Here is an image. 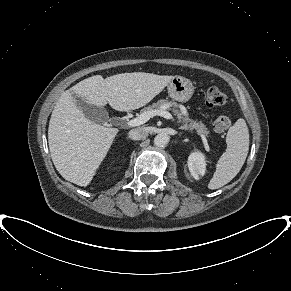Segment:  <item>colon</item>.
Segmentation results:
<instances>
[{
  "label": "colon",
  "mask_w": 291,
  "mask_h": 291,
  "mask_svg": "<svg viewBox=\"0 0 291 291\" xmlns=\"http://www.w3.org/2000/svg\"><path fill=\"white\" fill-rule=\"evenodd\" d=\"M206 102L209 106H222L227 102V97L218 88L211 87L207 90ZM229 126L230 119L225 115L217 117L214 122V130L219 133L226 131Z\"/></svg>",
  "instance_id": "obj_1"
}]
</instances>
